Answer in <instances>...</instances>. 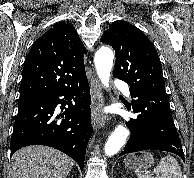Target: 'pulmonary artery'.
<instances>
[{"instance_id":"pulmonary-artery-1","label":"pulmonary artery","mask_w":194,"mask_h":178,"mask_svg":"<svg viewBox=\"0 0 194 178\" xmlns=\"http://www.w3.org/2000/svg\"><path fill=\"white\" fill-rule=\"evenodd\" d=\"M116 88L121 89L126 96H130L129 87L121 80H116L114 82Z\"/></svg>"}]
</instances>
